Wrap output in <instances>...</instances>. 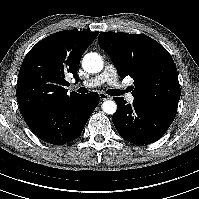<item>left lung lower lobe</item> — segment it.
<instances>
[{"instance_id": "1", "label": "left lung lower lobe", "mask_w": 199, "mask_h": 199, "mask_svg": "<svg viewBox=\"0 0 199 199\" xmlns=\"http://www.w3.org/2000/svg\"><path fill=\"white\" fill-rule=\"evenodd\" d=\"M117 111L112 116L120 136L134 144H150L160 139L172 124L176 111L135 98L127 104L122 97L113 98Z\"/></svg>"}]
</instances>
